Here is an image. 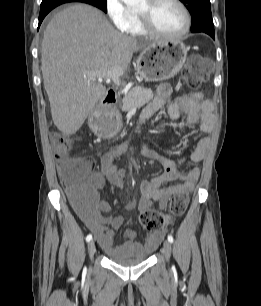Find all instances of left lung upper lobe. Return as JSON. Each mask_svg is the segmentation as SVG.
Segmentation results:
<instances>
[{"label":"left lung upper lobe","instance_id":"5c2ea615","mask_svg":"<svg viewBox=\"0 0 261 306\" xmlns=\"http://www.w3.org/2000/svg\"><path fill=\"white\" fill-rule=\"evenodd\" d=\"M192 16V32L214 31L209 0H180Z\"/></svg>","mask_w":261,"mask_h":306}]
</instances>
